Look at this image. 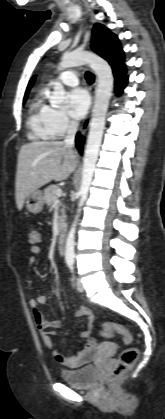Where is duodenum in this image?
<instances>
[{
    "label": "duodenum",
    "mask_w": 165,
    "mask_h": 419,
    "mask_svg": "<svg viewBox=\"0 0 165 419\" xmlns=\"http://www.w3.org/2000/svg\"><path fill=\"white\" fill-rule=\"evenodd\" d=\"M66 243V233L62 231L57 239V248L60 253H63L65 250Z\"/></svg>",
    "instance_id": "410a0bca"
}]
</instances>
